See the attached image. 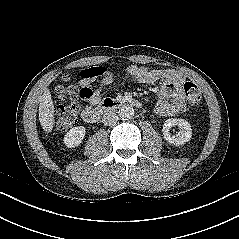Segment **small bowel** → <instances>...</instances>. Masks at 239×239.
Masks as SVG:
<instances>
[{"mask_svg":"<svg viewBox=\"0 0 239 239\" xmlns=\"http://www.w3.org/2000/svg\"><path fill=\"white\" fill-rule=\"evenodd\" d=\"M98 67L83 69L80 72V92L82 100L91 105H96L101 101V88H94L100 75H95L94 70ZM128 77L140 84L153 85L158 80L163 79L164 83L159 89V101L155 106V112L163 117L176 116L183 112L185 101L180 91L182 78L170 71L151 69L145 66L130 65L127 67ZM111 77L106 82H110Z\"/></svg>","mask_w":239,"mask_h":239,"instance_id":"small-bowel-1","label":"small bowel"}]
</instances>
